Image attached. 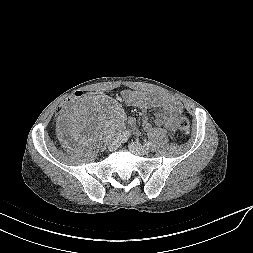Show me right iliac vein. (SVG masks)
I'll return each instance as SVG.
<instances>
[{
	"mask_svg": "<svg viewBox=\"0 0 253 253\" xmlns=\"http://www.w3.org/2000/svg\"><path fill=\"white\" fill-rule=\"evenodd\" d=\"M120 140H121V138L118 137V138L115 139L114 141L110 142V144H109V146H108L109 151H114V150H116V149L119 147V145H120Z\"/></svg>",
	"mask_w": 253,
	"mask_h": 253,
	"instance_id": "1",
	"label": "right iliac vein"
}]
</instances>
